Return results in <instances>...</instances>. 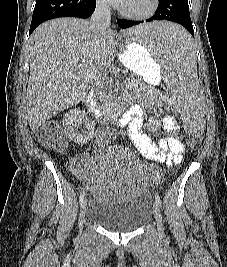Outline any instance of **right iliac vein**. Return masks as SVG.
Here are the masks:
<instances>
[{"instance_id": "right-iliac-vein-1", "label": "right iliac vein", "mask_w": 227, "mask_h": 267, "mask_svg": "<svg viewBox=\"0 0 227 267\" xmlns=\"http://www.w3.org/2000/svg\"><path fill=\"white\" fill-rule=\"evenodd\" d=\"M86 210H87V201L84 199L83 203L81 204V210H80V215H79V227L80 230L82 229L84 218L86 215Z\"/></svg>"}]
</instances>
